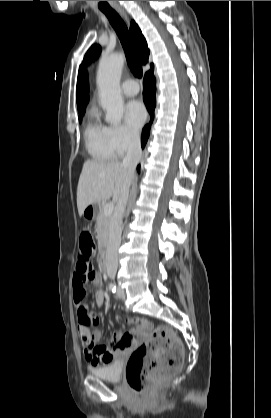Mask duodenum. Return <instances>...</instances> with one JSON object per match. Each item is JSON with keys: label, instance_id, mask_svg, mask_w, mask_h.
<instances>
[{"label": "duodenum", "instance_id": "obj_1", "mask_svg": "<svg viewBox=\"0 0 271 418\" xmlns=\"http://www.w3.org/2000/svg\"><path fill=\"white\" fill-rule=\"evenodd\" d=\"M101 267L103 269V271L107 270L108 267V259H107V254L106 252H103L102 257H101Z\"/></svg>", "mask_w": 271, "mask_h": 418}]
</instances>
